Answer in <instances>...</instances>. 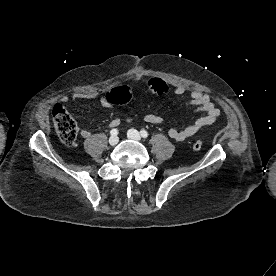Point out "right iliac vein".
I'll return each mask as SVG.
<instances>
[{"label":"right iliac vein","instance_id":"obj_1","mask_svg":"<svg viewBox=\"0 0 276 276\" xmlns=\"http://www.w3.org/2000/svg\"><path fill=\"white\" fill-rule=\"evenodd\" d=\"M119 141V138L116 135H113L109 138V145L115 146Z\"/></svg>","mask_w":276,"mask_h":276}]
</instances>
